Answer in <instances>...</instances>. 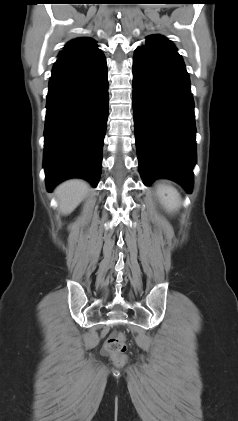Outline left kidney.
I'll return each mask as SVG.
<instances>
[{
	"label": "left kidney",
	"instance_id": "left-kidney-1",
	"mask_svg": "<svg viewBox=\"0 0 238 421\" xmlns=\"http://www.w3.org/2000/svg\"><path fill=\"white\" fill-rule=\"evenodd\" d=\"M157 195L162 206L167 212L177 211L181 206V197L175 188L169 185H160Z\"/></svg>",
	"mask_w": 238,
	"mask_h": 421
}]
</instances>
